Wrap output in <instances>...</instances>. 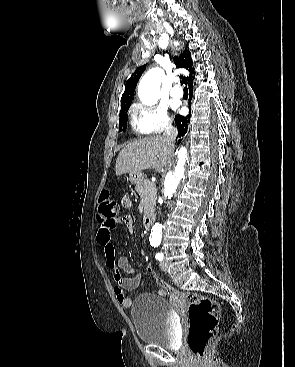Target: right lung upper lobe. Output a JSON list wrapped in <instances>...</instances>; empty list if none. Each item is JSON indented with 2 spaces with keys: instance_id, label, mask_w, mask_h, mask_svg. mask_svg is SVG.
<instances>
[{
  "instance_id": "obj_1",
  "label": "right lung upper lobe",
  "mask_w": 295,
  "mask_h": 367,
  "mask_svg": "<svg viewBox=\"0 0 295 367\" xmlns=\"http://www.w3.org/2000/svg\"><path fill=\"white\" fill-rule=\"evenodd\" d=\"M174 62L179 68H184L189 71V76L183 78V82L189 85V89L193 87L194 68L191 60V54L188 49H185L181 53L180 57H174ZM145 70V65L139 67L132 76L127 80L125 85V91L121 98V105L132 102V96L134 94L138 80Z\"/></svg>"
}]
</instances>
